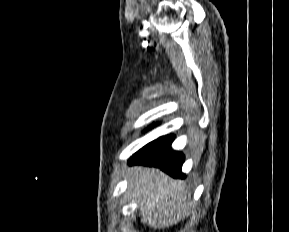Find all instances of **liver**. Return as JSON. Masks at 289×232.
<instances>
[{
	"label": "liver",
	"mask_w": 289,
	"mask_h": 232,
	"mask_svg": "<svg viewBox=\"0 0 289 232\" xmlns=\"http://www.w3.org/2000/svg\"><path fill=\"white\" fill-rule=\"evenodd\" d=\"M127 197L138 203L141 222L154 229H165L189 215L191 194L180 180L159 169L135 166L128 170Z\"/></svg>",
	"instance_id": "6515ba94"
}]
</instances>
